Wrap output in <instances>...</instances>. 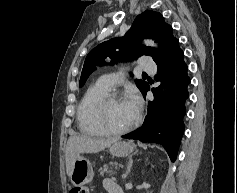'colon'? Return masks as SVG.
Here are the masks:
<instances>
[{
    "instance_id": "5ec220e1",
    "label": "colon",
    "mask_w": 237,
    "mask_h": 193,
    "mask_svg": "<svg viewBox=\"0 0 237 193\" xmlns=\"http://www.w3.org/2000/svg\"><path fill=\"white\" fill-rule=\"evenodd\" d=\"M69 193H89V187L87 185H76L70 189Z\"/></svg>"
}]
</instances>
